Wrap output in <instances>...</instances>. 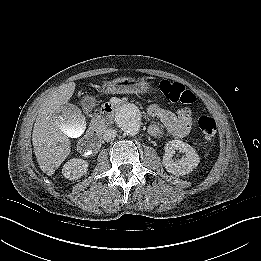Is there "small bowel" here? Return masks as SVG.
<instances>
[{"instance_id": "small-bowel-1", "label": "small bowel", "mask_w": 261, "mask_h": 261, "mask_svg": "<svg viewBox=\"0 0 261 261\" xmlns=\"http://www.w3.org/2000/svg\"><path fill=\"white\" fill-rule=\"evenodd\" d=\"M148 112L151 116L159 119L168 134L174 138L186 136L194 126V119L189 108H181L172 112L153 104L149 107ZM149 132L153 136H158L161 134V128L153 124L149 128Z\"/></svg>"}]
</instances>
